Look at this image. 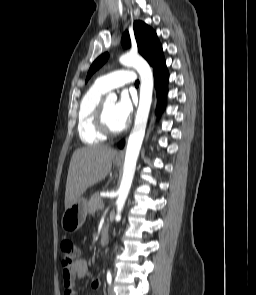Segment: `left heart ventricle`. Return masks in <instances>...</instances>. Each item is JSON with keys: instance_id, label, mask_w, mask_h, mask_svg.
<instances>
[{"instance_id": "1", "label": "left heart ventricle", "mask_w": 256, "mask_h": 295, "mask_svg": "<svg viewBox=\"0 0 256 295\" xmlns=\"http://www.w3.org/2000/svg\"><path fill=\"white\" fill-rule=\"evenodd\" d=\"M115 101H105V113H106V121L108 123V125L114 129V130H118L120 128H122V126L119 124V122L117 121L116 117H115Z\"/></svg>"}]
</instances>
